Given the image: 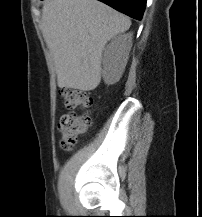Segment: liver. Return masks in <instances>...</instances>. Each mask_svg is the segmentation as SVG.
<instances>
[{"instance_id": "1", "label": "liver", "mask_w": 202, "mask_h": 217, "mask_svg": "<svg viewBox=\"0 0 202 217\" xmlns=\"http://www.w3.org/2000/svg\"><path fill=\"white\" fill-rule=\"evenodd\" d=\"M131 26L129 17L98 0H46L41 31L60 88L94 90L107 42Z\"/></svg>"}]
</instances>
